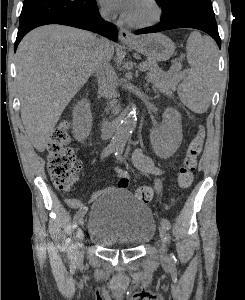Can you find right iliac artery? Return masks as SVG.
Listing matches in <instances>:
<instances>
[{"instance_id":"82829eb1","label":"right iliac artery","mask_w":245,"mask_h":300,"mask_svg":"<svg viewBox=\"0 0 245 300\" xmlns=\"http://www.w3.org/2000/svg\"><path fill=\"white\" fill-rule=\"evenodd\" d=\"M116 149L113 146H107L101 153V158H104L108 155H110L112 152H114ZM86 213V208H82L80 209L74 216V220H73V225H72V229H76L78 226V223L80 222V220L83 218V216ZM69 253L70 255L73 257L74 255V247L73 244L70 246L69 248Z\"/></svg>"}]
</instances>
